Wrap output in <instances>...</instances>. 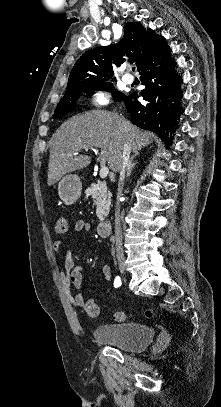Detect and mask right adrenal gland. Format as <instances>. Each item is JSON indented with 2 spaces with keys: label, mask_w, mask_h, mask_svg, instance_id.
I'll list each match as a JSON object with an SVG mask.
<instances>
[{
  "label": "right adrenal gland",
  "mask_w": 221,
  "mask_h": 407,
  "mask_svg": "<svg viewBox=\"0 0 221 407\" xmlns=\"http://www.w3.org/2000/svg\"><path fill=\"white\" fill-rule=\"evenodd\" d=\"M137 156H138V153H135V154L130 158V160L128 161V164H127V173H126L128 177L130 176V174H131L132 169L134 168V166L137 164L136 161L134 162V159H135Z\"/></svg>",
  "instance_id": "1"
}]
</instances>
